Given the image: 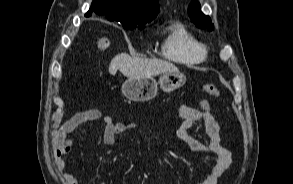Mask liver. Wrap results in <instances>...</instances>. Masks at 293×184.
<instances>
[{
    "instance_id": "1",
    "label": "liver",
    "mask_w": 293,
    "mask_h": 184,
    "mask_svg": "<svg viewBox=\"0 0 293 184\" xmlns=\"http://www.w3.org/2000/svg\"><path fill=\"white\" fill-rule=\"evenodd\" d=\"M119 70L126 77L154 76L165 72H178V68L168 61L131 57L127 53L116 55L109 65V73Z\"/></svg>"
}]
</instances>
